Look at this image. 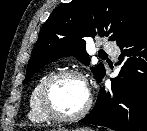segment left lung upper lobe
<instances>
[{"label":"left lung upper lobe","instance_id":"obj_1","mask_svg":"<svg viewBox=\"0 0 147 131\" xmlns=\"http://www.w3.org/2000/svg\"><path fill=\"white\" fill-rule=\"evenodd\" d=\"M147 27V0H72L57 7L42 26L27 66L26 84L44 65L75 55L89 64L86 41L108 36L120 45ZM98 81L102 64L91 68Z\"/></svg>","mask_w":147,"mask_h":131}]
</instances>
